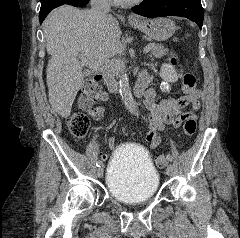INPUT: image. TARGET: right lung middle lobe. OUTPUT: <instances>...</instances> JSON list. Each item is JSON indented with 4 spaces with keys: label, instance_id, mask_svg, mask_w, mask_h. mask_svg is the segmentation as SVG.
Masks as SVG:
<instances>
[{
    "label": "right lung middle lobe",
    "instance_id": "right-lung-middle-lobe-1",
    "mask_svg": "<svg viewBox=\"0 0 240 238\" xmlns=\"http://www.w3.org/2000/svg\"><path fill=\"white\" fill-rule=\"evenodd\" d=\"M70 0H41L40 17L47 15L52 9L61 4H68Z\"/></svg>",
    "mask_w": 240,
    "mask_h": 238
}]
</instances>
